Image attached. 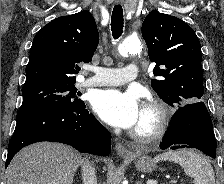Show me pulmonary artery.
I'll return each instance as SVG.
<instances>
[{
  "instance_id": "obj_1",
  "label": "pulmonary artery",
  "mask_w": 224,
  "mask_h": 184,
  "mask_svg": "<svg viewBox=\"0 0 224 184\" xmlns=\"http://www.w3.org/2000/svg\"><path fill=\"white\" fill-rule=\"evenodd\" d=\"M95 75L86 78L84 86H111L121 85L133 81L137 78L138 68L131 63L126 68H94Z\"/></svg>"
}]
</instances>
